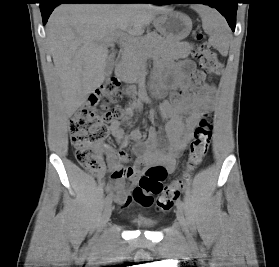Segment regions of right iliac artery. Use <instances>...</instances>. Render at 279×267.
<instances>
[{
  "label": "right iliac artery",
  "instance_id": "82829eb1",
  "mask_svg": "<svg viewBox=\"0 0 279 267\" xmlns=\"http://www.w3.org/2000/svg\"><path fill=\"white\" fill-rule=\"evenodd\" d=\"M112 202V198L110 195H107V197L105 198V204L108 205V204H111Z\"/></svg>",
  "mask_w": 279,
  "mask_h": 267
}]
</instances>
